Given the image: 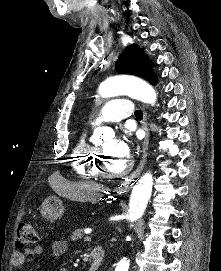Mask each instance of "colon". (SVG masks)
<instances>
[{
    "mask_svg": "<svg viewBox=\"0 0 221 271\" xmlns=\"http://www.w3.org/2000/svg\"><path fill=\"white\" fill-rule=\"evenodd\" d=\"M37 241V235L32 225L26 222H21L18 225L16 235V248L18 250H24L34 245Z\"/></svg>",
    "mask_w": 221,
    "mask_h": 271,
    "instance_id": "5ec220e1",
    "label": "colon"
}]
</instances>
